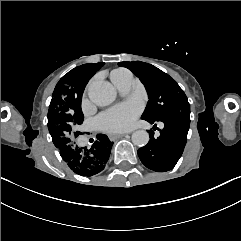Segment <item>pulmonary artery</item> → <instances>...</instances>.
Returning a JSON list of instances; mask_svg holds the SVG:
<instances>
[{
  "mask_svg": "<svg viewBox=\"0 0 241 241\" xmlns=\"http://www.w3.org/2000/svg\"><path fill=\"white\" fill-rule=\"evenodd\" d=\"M131 87H132V78L130 77L124 85L119 86L117 88L121 96L127 97L131 92Z\"/></svg>",
  "mask_w": 241,
  "mask_h": 241,
  "instance_id": "pulmonary-artery-1",
  "label": "pulmonary artery"
}]
</instances>
